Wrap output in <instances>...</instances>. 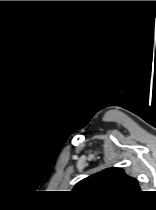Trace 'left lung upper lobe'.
<instances>
[{
  "mask_svg": "<svg viewBox=\"0 0 156 210\" xmlns=\"http://www.w3.org/2000/svg\"><path fill=\"white\" fill-rule=\"evenodd\" d=\"M74 190L105 193L113 195H131L138 193V181L125 174L121 168H108L91 175L77 183Z\"/></svg>",
  "mask_w": 156,
  "mask_h": 210,
  "instance_id": "obj_1",
  "label": "left lung upper lobe"
}]
</instances>
